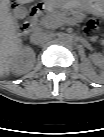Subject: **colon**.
Returning a JSON list of instances; mask_svg holds the SVG:
<instances>
[{
  "instance_id": "1",
  "label": "colon",
  "mask_w": 104,
  "mask_h": 137,
  "mask_svg": "<svg viewBox=\"0 0 104 137\" xmlns=\"http://www.w3.org/2000/svg\"><path fill=\"white\" fill-rule=\"evenodd\" d=\"M95 25H96L95 20H94V19H90V20L88 21V23H87V29H88L89 31H91V30L94 29Z\"/></svg>"
}]
</instances>
